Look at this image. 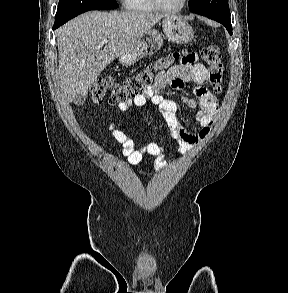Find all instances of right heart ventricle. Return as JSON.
I'll use <instances>...</instances> for the list:
<instances>
[{
  "label": "right heart ventricle",
  "instance_id": "e07e8e85",
  "mask_svg": "<svg viewBox=\"0 0 288 293\" xmlns=\"http://www.w3.org/2000/svg\"><path fill=\"white\" fill-rule=\"evenodd\" d=\"M127 10L135 12H152L156 8L150 0H123Z\"/></svg>",
  "mask_w": 288,
  "mask_h": 293
}]
</instances>
